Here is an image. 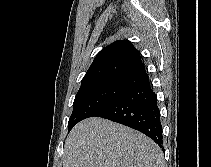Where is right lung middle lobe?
I'll return each mask as SVG.
<instances>
[{"label": "right lung middle lobe", "mask_w": 211, "mask_h": 167, "mask_svg": "<svg viewBox=\"0 0 211 167\" xmlns=\"http://www.w3.org/2000/svg\"><path fill=\"white\" fill-rule=\"evenodd\" d=\"M131 84V79L123 78H105L81 84L73 103V112L68 122V131L79 121L92 117L114 101Z\"/></svg>", "instance_id": "right-lung-middle-lobe-1"}]
</instances>
